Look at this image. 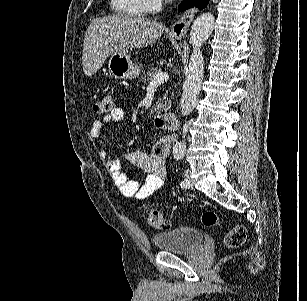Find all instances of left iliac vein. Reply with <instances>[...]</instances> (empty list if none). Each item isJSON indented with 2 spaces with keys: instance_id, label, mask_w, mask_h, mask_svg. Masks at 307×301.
<instances>
[{
  "instance_id": "obj_1",
  "label": "left iliac vein",
  "mask_w": 307,
  "mask_h": 301,
  "mask_svg": "<svg viewBox=\"0 0 307 301\" xmlns=\"http://www.w3.org/2000/svg\"><path fill=\"white\" fill-rule=\"evenodd\" d=\"M185 177H186V180L188 181V184L186 185L185 188L191 189L192 183H191V173H190V171H188V170L185 171Z\"/></svg>"
}]
</instances>
